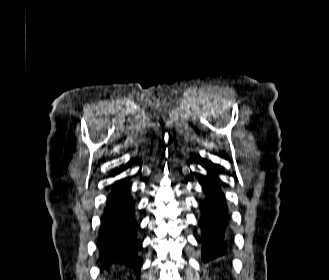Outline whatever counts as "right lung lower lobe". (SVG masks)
Masks as SVG:
<instances>
[{
    "instance_id": "right-lung-lower-lobe-1",
    "label": "right lung lower lobe",
    "mask_w": 329,
    "mask_h": 280,
    "mask_svg": "<svg viewBox=\"0 0 329 280\" xmlns=\"http://www.w3.org/2000/svg\"><path fill=\"white\" fill-rule=\"evenodd\" d=\"M133 215L134 203L129 191L116 182L104 210L99 232V254L104 266L124 264L133 268L139 276L141 262L136 255L138 244L135 238L138 226Z\"/></svg>"
}]
</instances>
